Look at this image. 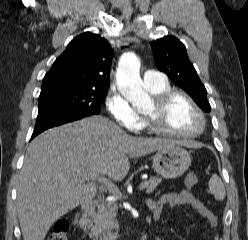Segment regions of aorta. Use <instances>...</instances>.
I'll list each match as a JSON object with an SVG mask.
<instances>
[{
    "instance_id": "aorta-1",
    "label": "aorta",
    "mask_w": 248,
    "mask_h": 240,
    "mask_svg": "<svg viewBox=\"0 0 248 240\" xmlns=\"http://www.w3.org/2000/svg\"><path fill=\"white\" fill-rule=\"evenodd\" d=\"M116 83L123 97L133 106L141 108L150 103V97L144 91L140 78V61L132 52L123 54L118 63Z\"/></svg>"
}]
</instances>
